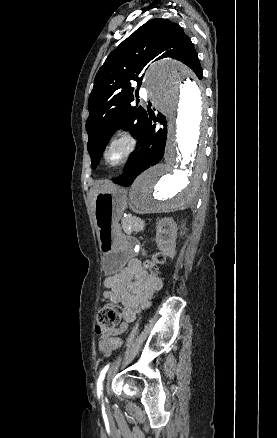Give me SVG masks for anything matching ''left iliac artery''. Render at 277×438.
Returning a JSON list of instances; mask_svg holds the SVG:
<instances>
[{"label":"left iliac artery","instance_id":"obj_1","mask_svg":"<svg viewBox=\"0 0 277 438\" xmlns=\"http://www.w3.org/2000/svg\"><path fill=\"white\" fill-rule=\"evenodd\" d=\"M110 364H107L102 371L100 372L99 378L97 380V395L98 397H102V392H103V380L105 377V374L109 368Z\"/></svg>","mask_w":277,"mask_h":438}]
</instances>
